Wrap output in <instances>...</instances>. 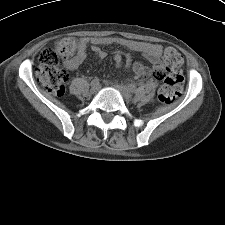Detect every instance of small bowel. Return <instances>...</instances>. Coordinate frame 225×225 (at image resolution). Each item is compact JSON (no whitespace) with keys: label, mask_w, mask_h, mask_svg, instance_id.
I'll list each match as a JSON object with an SVG mask.
<instances>
[{"label":"small bowel","mask_w":225,"mask_h":225,"mask_svg":"<svg viewBox=\"0 0 225 225\" xmlns=\"http://www.w3.org/2000/svg\"><path fill=\"white\" fill-rule=\"evenodd\" d=\"M90 43L92 44V51L94 55L98 59L102 60L106 58L107 53L106 51L100 48V45L111 44L113 43V40L110 38H80L78 41V50L74 61L66 64V67L69 70L77 69L85 60L87 56V46ZM133 49L135 51L140 52L150 63L157 64L159 62V57L161 54V47L159 45L151 43H140L138 45L133 46ZM113 60L116 68H121L123 62H125V67H132L137 77H143L146 74L145 66L140 62L132 63V59L128 54L116 52L114 54Z\"/></svg>","instance_id":"c3829d8e"}]
</instances>
